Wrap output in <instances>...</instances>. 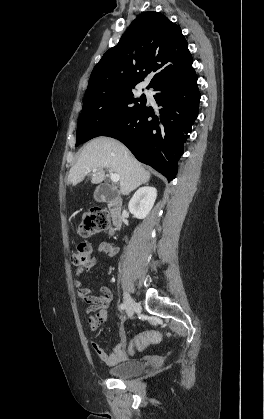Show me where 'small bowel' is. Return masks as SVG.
I'll list each match as a JSON object with an SVG mask.
<instances>
[{"mask_svg": "<svg viewBox=\"0 0 264 419\" xmlns=\"http://www.w3.org/2000/svg\"><path fill=\"white\" fill-rule=\"evenodd\" d=\"M98 251L104 253L109 257H114L117 254V247L113 242L102 241L98 245ZM92 266V265H91ZM78 267L75 271V285L78 288L79 297L85 301L94 303L93 309L97 311L95 316H91L88 319L89 327L91 331H96L106 321L108 313L107 308L113 299V294L108 287L102 286L100 288V295L94 296L89 288L83 287L80 281V276L89 270L91 267ZM86 313L90 312V308L85 309ZM119 327H118V343L113 347L112 352H107L98 343L93 342L92 346L97 356L107 365L113 366L122 363L128 359L129 355L135 354V351L131 349L130 343L127 341L126 333L123 328L124 317L118 315ZM155 333L156 339L154 343L161 339V334L157 331Z\"/></svg>", "mask_w": 264, "mask_h": 419, "instance_id": "small-bowel-1", "label": "small bowel"}]
</instances>
